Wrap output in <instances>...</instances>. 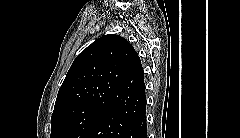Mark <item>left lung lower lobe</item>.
<instances>
[{"label":"left lung lower lobe","mask_w":240,"mask_h":138,"mask_svg":"<svg viewBox=\"0 0 240 138\" xmlns=\"http://www.w3.org/2000/svg\"><path fill=\"white\" fill-rule=\"evenodd\" d=\"M144 73L139 56L86 138H147Z\"/></svg>","instance_id":"obj_1"}]
</instances>
